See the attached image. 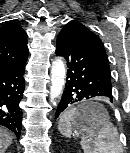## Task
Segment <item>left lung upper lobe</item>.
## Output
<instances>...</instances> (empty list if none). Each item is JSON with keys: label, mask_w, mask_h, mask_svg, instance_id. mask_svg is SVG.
<instances>
[{"label": "left lung upper lobe", "mask_w": 130, "mask_h": 153, "mask_svg": "<svg viewBox=\"0 0 130 153\" xmlns=\"http://www.w3.org/2000/svg\"><path fill=\"white\" fill-rule=\"evenodd\" d=\"M61 32H67V33H71L74 35H78L82 38H85L95 47L100 49L104 55H106L103 43L101 42L100 38L96 34H94L92 31H90L87 27H85L83 24H81L80 22L75 20L70 21L63 27Z\"/></svg>", "instance_id": "obj_1"}]
</instances>
